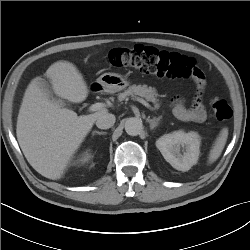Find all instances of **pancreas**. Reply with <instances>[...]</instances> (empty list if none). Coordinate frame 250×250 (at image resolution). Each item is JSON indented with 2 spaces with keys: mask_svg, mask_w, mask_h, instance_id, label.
<instances>
[{
  "mask_svg": "<svg viewBox=\"0 0 250 250\" xmlns=\"http://www.w3.org/2000/svg\"><path fill=\"white\" fill-rule=\"evenodd\" d=\"M141 96L147 101H150L154 104L155 109H159L160 102L158 99V93L155 88L148 87L147 85H132L123 93H119L118 100L123 101L127 99L128 96Z\"/></svg>",
  "mask_w": 250,
  "mask_h": 250,
  "instance_id": "cf45deb5",
  "label": "pancreas"
}]
</instances>
